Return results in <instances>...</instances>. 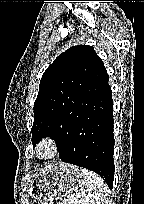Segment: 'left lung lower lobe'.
Segmentation results:
<instances>
[{
  "label": "left lung lower lobe",
  "mask_w": 144,
  "mask_h": 204,
  "mask_svg": "<svg viewBox=\"0 0 144 204\" xmlns=\"http://www.w3.org/2000/svg\"><path fill=\"white\" fill-rule=\"evenodd\" d=\"M108 81L105 68L95 73L86 88V103L57 147L62 161L94 171L112 189L115 168L113 99Z\"/></svg>",
  "instance_id": "0a47b994"
}]
</instances>
